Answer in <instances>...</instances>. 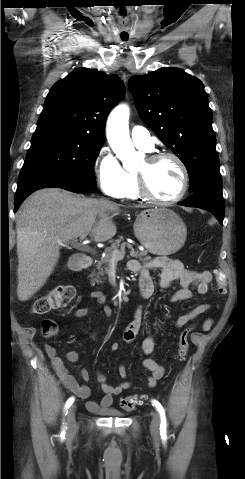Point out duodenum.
Listing matches in <instances>:
<instances>
[{"label":"duodenum","instance_id":"410a0bca","mask_svg":"<svg viewBox=\"0 0 245 479\" xmlns=\"http://www.w3.org/2000/svg\"><path fill=\"white\" fill-rule=\"evenodd\" d=\"M92 264V260L89 256H83L74 261L73 266L76 269L88 268Z\"/></svg>","mask_w":245,"mask_h":479}]
</instances>
